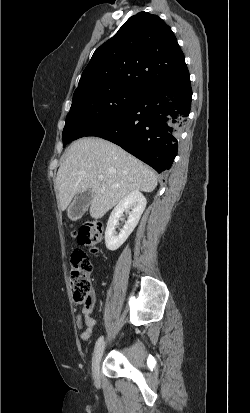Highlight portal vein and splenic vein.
I'll list each match as a JSON object with an SVG mask.
<instances>
[{"mask_svg": "<svg viewBox=\"0 0 250 413\" xmlns=\"http://www.w3.org/2000/svg\"><path fill=\"white\" fill-rule=\"evenodd\" d=\"M103 179V177L102 176H99V180H102Z\"/></svg>", "mask_w": 250, "mask_h": 413, "instance_id": "18ae733b", "label": "portal vein and splenic vein"}]
</instances>
